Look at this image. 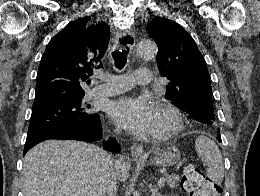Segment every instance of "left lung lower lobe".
I'll return each mask as SVG.
<instances>
[{"label": "left lung lower lobe", "instance_id": "left-lung-lower-lobe-1", "mask_svg": "<svg viewBox=\"0 0 260 196\" xmlns=\"http://www.w3.org/2000/svg\"><path fill=\"white\" fill-rule=\"evenodd\" d=\"M195 108L196 109L194 111L190 112L191 119L196 120L201 123H209L216 119L215 115H214V111H213V106L212 107L211 106H206V107L196 106ZM218 133H219V131H218ZM217 140L219 142H221V137L218 136Z\"/></svg>", "mask_w": 260, "mask_h": 196}]
</instances>
